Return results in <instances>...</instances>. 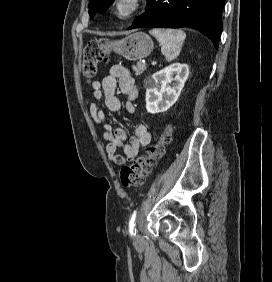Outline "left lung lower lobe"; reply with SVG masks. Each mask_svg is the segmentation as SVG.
Masks as SVG:
<instances>
[{"label": "left lung lower lobe", "instance_id": "1", "mask_svg": "<svg viewBox=\"0 0 272 282\" xmlns=\"http://www.w3.org/2000/svg\"><path fill=\"white\" fill-rule=\"evenodd\" d=\"M225 0H147V9L128 29L193 27L218 48Z\"/></svg>", "mask_w": 272, "mask_h": 282}]
</instances>
